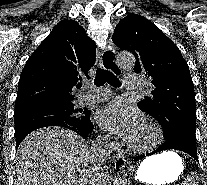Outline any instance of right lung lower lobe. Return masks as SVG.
I'll return each mask as SVG.
<instances>
[{
  "label": "right lung lower lobe",
  "mask_w": 207,
  "mask_h": 185,
  "mask_svg": "<svg viewBox=\"0 0 207 185\" xmlns=\"http://www.w3.org/2000/svg\"><path fill=\"white\" fill-rule=\"evenodd\" d=\"M46 126H61V127H65V128H68V129H71V130L75 131L76 133H78L82 137H86L94 129V126H93V124L91 123L90 120L88 122H85V123H82V124H79V125H59L57 123L43 124V125L35 127V128H29V129L22 130L21 132L15 134V136H16V149L18 148V146L21 143V141L29 133H31L32 131H34V130H36L38 128L46 127Z\"/></svg>",
  "instance_id": "obj_1"
}]
</instances>
